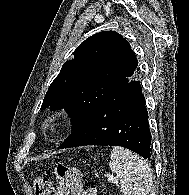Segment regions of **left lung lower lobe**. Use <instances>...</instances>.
I'll list each match as a JSON object with an SVG mask.
<instances>
[{"label": "left lung lower lobe", "instance_id": "0a47b994", "mask_svg": "<svg viewBox=\"0 0 189 195\" xmlns=\"http://www.w3.org/2000/svg\"><path fill=\"white\" fill-rule=\"evenodd\" d=\"M150 144L145 98L140 83L132 81L109 96L60 149L83 145L122 146L150 160Z\"/></svg>", "mask_w": 189, "mask_h": 195}]
</instances>
